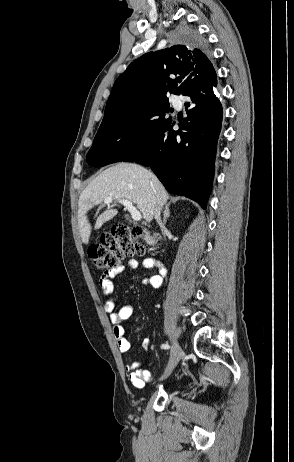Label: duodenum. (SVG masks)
Segmentation results:
<instances>
[{"instance_id": "410a0bca", "label": "duodenum", "mask_w": 294, "mask_h": 462, "mask_svg": "<svg viewBox=\"0 0 294 462\" xmlns=\"http://www.w3.org/2000/svg\"><path fill=\"white\" fill-rule=\"evenodd\" d=\"M142 238L150 245L155 244V239L150 234H144Z\"/></svg>"}]
</instances>
